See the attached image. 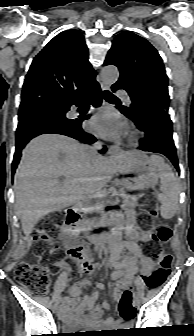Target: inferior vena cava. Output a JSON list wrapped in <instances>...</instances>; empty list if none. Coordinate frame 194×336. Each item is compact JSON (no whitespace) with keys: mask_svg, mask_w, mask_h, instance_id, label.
<instances>
[{"mask_svg":"<svg viewBox=\"0 0 194 336\" xmlns=\"http://www.w3.org/2000/svg\"><path fill=\"white\" fill-rule=\"evenodd\" d=\"M102 146L99 142L95 143L93 146L88 147L89 151V164L90 165H97L98 164V159L100 156H98V150L101 149Z\"/></svg>","mask_w":194,"mask_h":336,"instance_id":"602c4592","label":"inferior vena cava"}]
</instances>
